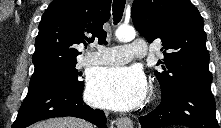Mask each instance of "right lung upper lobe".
<instances>
[{"mask_svg":"<svg viewBox=\"0 0 221 128\" xmlns=\"http://www.w3.org/2000/svg\"><path fill=\"white\" fill-rule=\"evenodd\" d=\"M111 0H54L45 10L35 40L33 75L75 65L77 45L98 39L105 42L102 26L110 18Z\"/></svg>","mask_w":221,"mask_h":128,"instance_id":"cb5924a9","label":"right lung upper lobe"}]
</instances>
